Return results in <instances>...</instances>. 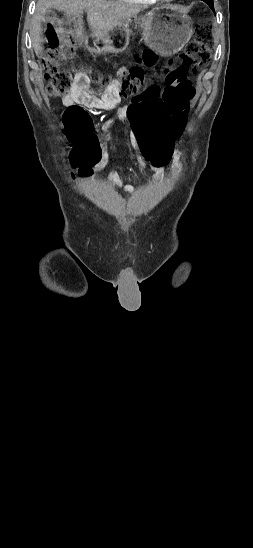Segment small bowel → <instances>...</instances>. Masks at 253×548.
<instances>
[{
	"label": "small bowel",
	"instance_id": "1",
	"mask_svg": "<svg viewBox=\"0 0 253 548\" xmlns=\"http://www.w3.org/2000/svg\"><path fill=\"white\" fill-rule=\"evenodd\" d=\"M152 61L147 63L151 64ZM127 72L128 68L126 66H123L119 69L118 74L120 76L126 74ZM119 100L120 94L118 80L113 81L112 84L102 94H97L94 90L91 89L87 75L83 72H78L74 76V82L71 91L63 98V104L67 107L72 105H81L89 109H98L112 112L111 118H109L103 124V131L106 135V138L110 139L112 130L127 118L129 112V106L126 108L119 107ZM129 134L133 147L139 151V153L136 154L135 159L139 168L143 170L148 163L150 164V160L148 158L144 159L141 157V150L138 148V143L140 142V140L134 137V133H131L129 131ZM171 158L173 159L172 170L174 172L178 171L181 167V151L175 147L174 143L172 145ZM110 160L111 153L106 146L101 151L98 160L91 165V169H102L109 164ZM151 167L154 171L152 177L153 181L159 182L164 174V166L151 165ZM108 180L111 185L124 191L125 193L131 194L134 192L133 186L123 184L119 173L116 171H113L108 175Z\"/></svg>",
	"mask_w": 253,
	"mask_h": 548
}]
</instances>
